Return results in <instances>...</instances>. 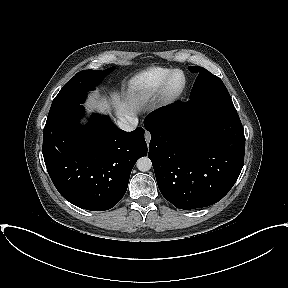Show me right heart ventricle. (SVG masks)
Masks as SVG:
<instances>
[{"label":"right heart ventricle","mask_w":288,"mask_h":288,"mask_svg":"<svg viewBox=\"0 0 288 288\" xmlns=\"http://www.w3.org/2000/svg\"><path fill=\"white\" fill-rule=\"evenodd\" d=\"M171 71L167 68L154 67L141 72L130 81V91L138 99L146 100L163 85Z\"/></svg>","instance_id":"right-heart-ventricle-1"}]
</instances>
